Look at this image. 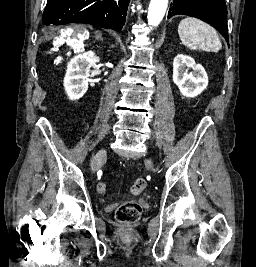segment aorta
I'll use <instances>...</instances> for the list:
<instances>
[{"label": "aorta", "mask_w": 256, "mask_h": 267, "mask_svg": "<svg viewBox=\"0 0 256 267\" xmlns=\"http://www.w3.org/2000/svg\"><path fill=\"white\" fill-rule=\"evenodd\" d=\"M167 8L168 0H151L147 14L148 26H154V28L159 26L166 14Z\"/></svg>", "instance_id": "obj_1"}]
</instances>
